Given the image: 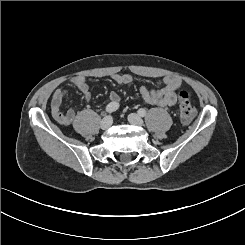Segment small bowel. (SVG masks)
<instances>
[{
    "label": "small bowel",
    "instance_id": "obj_1",
    "mask_svg": "<svg viewBox=\"0 0 245 245\" xmlns=\"http://www.w3.org/2000/svg\"><path fill=\"white\" fill-rule=\"evenodd\" d=\"M112 79L120 85H128L132 82V76L129 74L115 73ZM70 83L75 86L83 95L85 100H89V86L85 77L75 76L71 78ZM164 86L161 89H149L145 85L140 86V95L144 104L149 106H173L177 102V89L181 85V79L176 75H166L163 77ZM67 93L65 90L58 88L55 90L51 100V112L53 118L61 125H71L76 113L74 109L66 112L61 110V106ZM110 103H119L120 96L116 92L109 95Z\"/></svg>",
    "mask_w": 245,
    "mask_h": 245
}]
</instances>
